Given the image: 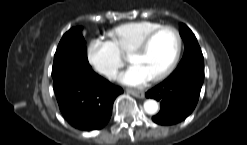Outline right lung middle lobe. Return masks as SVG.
<instances>
[{"mask_svg": "<svg viewBox=\"0 0 247 145\" xmlns=\"http://www.w3.org/2000/svg\"><path fill=\"white\" fill-rule=\"evenodd\" d=\"M81 30V27H75L63 35L54 55L52 71L72 61L88 62L86 43Z\"/></svg>", "mask_w": 247, "mask_h": 145, "instance_id": "1", "label": "right lung middle lobe"}]
</instances>
